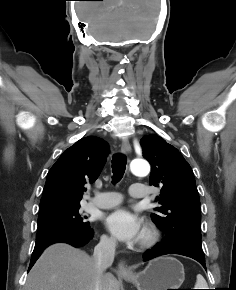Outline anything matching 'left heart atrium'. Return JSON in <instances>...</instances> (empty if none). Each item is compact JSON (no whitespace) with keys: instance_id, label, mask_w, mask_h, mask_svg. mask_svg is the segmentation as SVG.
I'll return each mask as SVG.
<instances>
[{"instance_id":"39dd6f15","label":"left heart atrium","mask_w":236,"mask_h":290,"mask_svg":"<svg viewBox=\"0 0 236 290\" xmlns=\"http://www.w3.org/2000/svg\"><path fill=\"white\" fill-rule=\"evenodd\" d=\"M107 229L120 241L132 243L141 236V224L137 216L125 208H118L105 219Z\"/></svg>"}]
</instances>
